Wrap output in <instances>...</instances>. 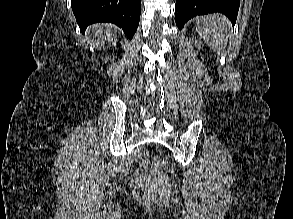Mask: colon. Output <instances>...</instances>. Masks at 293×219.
I'll use <instances>...</instances> for the list:
<instances>
[{
    "instance_id": "obj_1",
    "label": "colon",
    "mask_w": 293,
    "mask_h": 219,
    "mask_svg": "<svg viewBox=\"0 0 293 219\" xmlns=\"http://www.w3.org/2000/svg\"><path fill=\"white\" fill-rule=\"evenodd\" d=\"M140 164L146 169L162 170L167 168L168 162L163 158H159L147 152L140 155ZM152 194L151 188L143 182H135L133 195L138 200H147Z\"/></svg>"
}]
</instances>
